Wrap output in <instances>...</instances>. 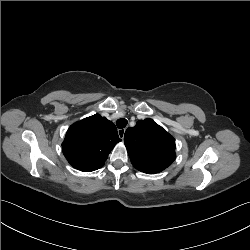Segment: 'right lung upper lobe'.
<instances>
[{"mask_svg":"<svg viewBox=\"0 0 250 250\" xmlns=\"http://www.w3.org/2000/svg\"><path fill=\"white\" fill-rule=\"evenodd\" d=\"M120 141L116 126L95 114L69 127L62 143L63 154L74 168L90 172L104 165Z\"/></svg>","mask_w":250,"mask_h":250,"instance_id":"right-lung-upper-lobe-1","label":"right lung upper lobe"}]
</instances>
